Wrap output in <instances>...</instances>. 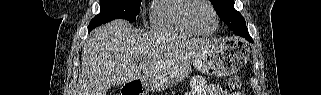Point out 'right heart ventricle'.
Wrapping results in <instances>:
<instances>
[{
  "mask_svg": "<svg viewBox=\"0 0 321 95\" xmlns=\"http://www.w3.org/2000/svg\"><path fill=\"white\" fill-rule=\"evenodd\" d=\"M190 0H153L150 7L149 21L153 29L197 35L186 17Z\"/></svg>",
  "mask_w": 321,
  "mask_h": 95,
  "instance_id": "1",
  "label": "right heart ventricle"
}]
</instances>
